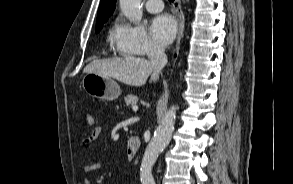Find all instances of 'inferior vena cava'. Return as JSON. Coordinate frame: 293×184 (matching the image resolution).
Instances as JSON below:
<instances>
[{
    "label": "inferior vena cava",
    "instance_id": "602c4592",
    "mask_svg": "<svg viewBox=\"0 0 293 184\" xmlns=\"http://www.w3.org/2000/svg\"><path fill=\"white\" fill-rule=\"evenodd\" d=\"M151 65L156 73H160L163 67L167 64V56L164 47L159 44H152L148 52Z\"/></svg>",
    "mask_w": 293,
    "mask_h": 184
}]
</instances>
